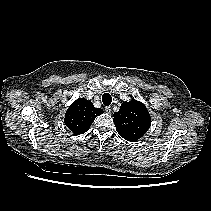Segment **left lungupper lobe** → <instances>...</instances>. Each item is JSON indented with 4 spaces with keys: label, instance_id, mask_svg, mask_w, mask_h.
Masks as SVG:
<instances>
[{
    "label": "left lung upper lobe",
    "instance_id": "5c2ea615",
    "mask_svg": "<svg viewBox=\"0 0 211 211\" xmlns=\"http://www.w3.org/2000/svg\"><path fill=\"white\" fill-rule=\"evenodd\" d=\"M116 130L124 139L135 142L150 128V114L142 102H123L120 110L113 114Z\"/></svg>",
    "mask_w": 211,
    "mask_h": 211
}]
</instances>
